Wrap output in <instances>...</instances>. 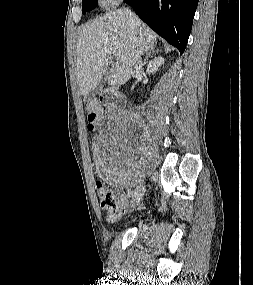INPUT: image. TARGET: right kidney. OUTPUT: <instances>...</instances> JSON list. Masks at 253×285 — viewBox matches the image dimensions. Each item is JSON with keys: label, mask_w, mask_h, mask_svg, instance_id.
<instances>
[{"label": "right kidney", "mask_w": 253, "mask_h": 285, "mask_svg": "<svg viewBox=\"0 0 253 285\" xmlns=\"http://www.w3.org/2000/svg\"><path fill=\"white\" fill-rule=\"evenodd\" d=\"M164 64V58L162 57H156L150 63L147 67L148 74L152 73L154 74L156 71H158L159 67Z\"/></svg>", "instance_id": "obj_1"}]
</instances>
